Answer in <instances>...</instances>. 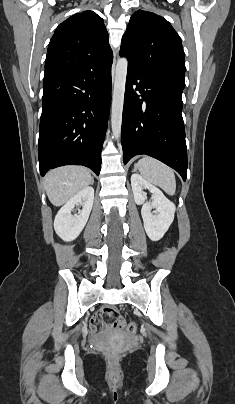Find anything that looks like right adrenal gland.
<instances>
[{
	"label": "right adrenal gland",
	"mask_w": 235,
	"mask_h": 404,
	"mask_svg": "<svg viewBox=\"0 0 235 404\" xmlns=\"http://www.w3.org/2000/svg\"><path fill=\"white\" fill-rule=\"evenodd\" d=\"M94 183V179H92V181H91V184H93Z\"/></svg>",
	"instance_id": "2a0ac1e0"
}]
</instances>
